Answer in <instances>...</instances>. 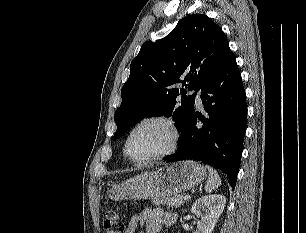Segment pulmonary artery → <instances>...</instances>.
<instances>
[{
    "label": "pulmonary artery",
    "instance_id": "1",
    "mask_svg": "<svg viewBox=\"0 0 306 233\" xmlns=\"http://www.w3.org/2000/svg\"><path fill=\"white\" fill-rule=\"evenodd\" d=\"M191 93L196 94V103L198 106H201V91L200 90H193Z\"/></svg>",
    "mask_w": 306,
    "mask_h": 233
}]
</instances>
